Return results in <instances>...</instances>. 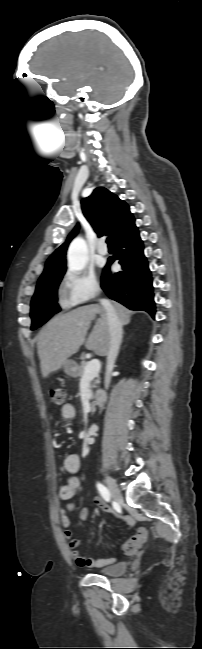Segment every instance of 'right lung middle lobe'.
<instances>
[{
  "instance_id": "1",
  "label": "right lung middle lobe",
  "mask_w": 202,
  "mask_h": 649,
  "mask_svg": "<svg viewBox=\"0 0 202 649\" xmlns=\"http://www.w3.org/2000/svg\"><path fill=\"white\" fill-rule=\"evenodd\" d=\"M65 271L40 277L31 301V330L43 325L60 311L57 304V289Z\"/></svg>"
}]
</instances>
